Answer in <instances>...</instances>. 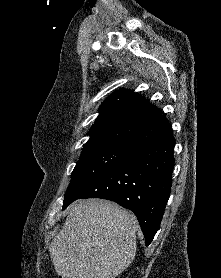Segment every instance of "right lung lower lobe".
<instances>
[{
  "mask_svg": "<svg viewBox=\"0 0 221 278\" xmlns=\"http://www.w3.org/2000/svg\"><path fill=\"white\" fill-rule=\"evenodd\" d=\"M174 145L170 135L134 146L124 161L99 177L78 199H107L131 210L148 246L160 227L170 196Z\"/></svg>",
  "mask_w": 221,
  "mask_h": 278,
  "instance_id": "right-lung-lower-lobe-1",
  "label": "right lung lower lobe"
}]
</instances>
